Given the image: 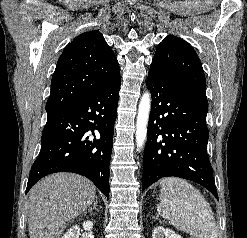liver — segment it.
Returning a JSON list of instances; mask_svg holds the SVG:
<instances>
[{"instance_id":"1","label":"liver","mask_w":247,"mask_h":238,"mask_svg":"<svg viewBox=\"0 0 247 238\" xmlns=\"http://www.w3.org/2000/svg\"><path fill=\"white\" fill-rule=\"evenodd\" d=\"M96 187L80 175L55 173L34 185L29 192L30 238H60L66 224L94 202Z\"/></svg>"}]
</instances>
